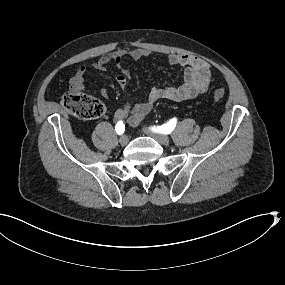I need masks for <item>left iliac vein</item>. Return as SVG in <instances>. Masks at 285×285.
<instances>
[{"label":"left iliac vein","mask_w":285,"mask_h":285,"mask_svg":"<svg viewBox=\"0 0 285 285\" xmlns=\"http://www.w3.org/2000/svg\"><path fill=\"white\" fill-rule=\"evenodd\" d=\"M155 140H157L160 144L168 145L170 142V138L167 135L157 134V133H150Z\"/></svg>","instance_id":"left-iliac-vein-1"}]
</instances>
